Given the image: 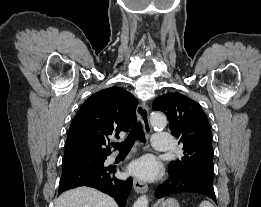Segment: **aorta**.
Masks as SVG:
<instances>
[{"label": "aorta", "mask_w": 261, "mask_h": 207, "mask_svg": "<svg viewBox=\"0 0 261 207\" xmlns=\"http://www.w3.org/2000/svg\"><path fill=\"white\" fill-rule=\"evenodd\" d=\"M150 123L155 129H164L167 124L165 115L160 112H153L150 116ZM133 207H148V198L146 195L139 197Z\"/></svg>", "instance_id": "1"}]
</instances>
